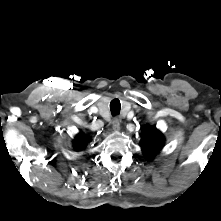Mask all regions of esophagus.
Listing matches in <instances>:
<instances>
[{"instance_id":"obj_1","label":"esophagus","mask_w":221,"mask_h":221,"mask_svg":"<svg viewBox=\"0 0 221 221\" xmlns=\"http://www.w3.org/2000/svg\"><path fill=\"white\" fill-rule=\"evenodd\" d=\"M112 127L115 131L120 130V120L118 118H115L112 122Z\"/></svg>"}]
</instances>
